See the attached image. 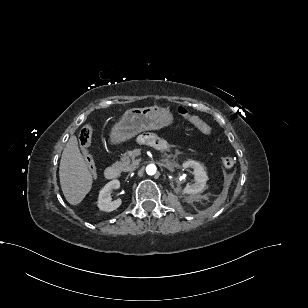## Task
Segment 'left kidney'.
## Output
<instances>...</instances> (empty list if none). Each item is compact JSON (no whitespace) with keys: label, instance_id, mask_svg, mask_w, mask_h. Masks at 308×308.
I'll list each match as a JSON object with an SVG mask.
<instances>
[{"label":"left kidney","instance_id":"1","mask_svg":"<svg viewBox=\"0 0 308 308\" xmlns=\"http://www.w3.org/2000/svg\"><path fill=\"white\" fill-rule=\"evenodd\" d=\"M183 168H192L194 170L195 183L192 185L187 184L182 190V194L194 195L202 192L208 179L204 167L196 161L189 160L183 163Z\"/></svg>","mask_w":308,"mask_h":308}]
</instances>
